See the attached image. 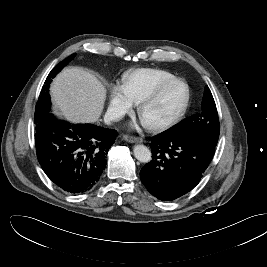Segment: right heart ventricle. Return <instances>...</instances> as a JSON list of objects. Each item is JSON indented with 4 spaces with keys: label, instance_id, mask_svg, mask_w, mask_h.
<instances>
[{
    "label": "right heart ventricle",
    "instance_id": "e07e8e85",
    "mask_svg": "<svg viewBox=\"0 0 267 267\" xmlns=\"http://www.w3.org/2000/svg\"><path fill=\"white\" fill-rule=\"evenodd\" d=\"M177 79L168 71L153 68H140L123 75L124 90L133 104L156 90L161 85Z\"/></svg>",
    "mask_w": 267,
    "mask_h": 267
}]
</instances>
